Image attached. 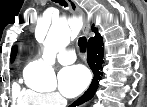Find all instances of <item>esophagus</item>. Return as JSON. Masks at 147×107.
Here are the masks:
<instances>
[{
    "mask_svg": "<svg viewBox=\"0 0 147 107\" xmlns=\"http://www.w3.org/2000/svg\"><path fill=\"white\" fill-rule=\"evenodd\" d=\"M67 2L70 6L72 13L83 21L82 32L85 36H88L89 30H90L89 20L87 18H85L83 12L77 6V4L74 0H67Z\"/></svg>",
    "mask_w": 147,
    "mask_h": 107,
    "instance_id": "34e87169",
    "label": "esophagus"
}]
</instances>
